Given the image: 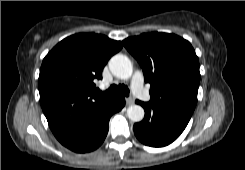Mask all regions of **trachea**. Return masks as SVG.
Returning <instances> with one entry per match:
<instances>
[{"instance_id":"3493384b","label":"trachea","mask_w":245,"mask_h":170,"mask_svg":"<svg viewBox=\"0 0 245 170\" xmlns=\"http://www.w3.org/2000/svg\"><path fill=\"white\" fill-rule=\"evenodd\" d=\"M120 92L124 96H129V89L126 85L120 84V85H111L106 91V94H115Z\"/></svg>"}]
</instances>
